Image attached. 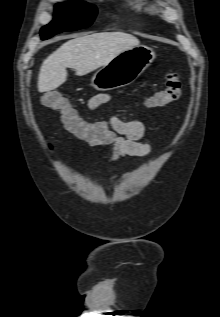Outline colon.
<instances>
[{
  "instance_id": "colon-1",
  "label": "colon",
  "mask_w": 220,
  "mask_h": 317,
  "mask_svg": "<svg viewBox=\"0 0 220 317\" xmlns=\"http://www.w3.org/2000/svg\"><path fill=\"white\" fill-rule=\"evenodd\" d=\"M180 95L181 83L178 75L176 73H169L166 78L165 88L152 95L148 99L147 105L151 108H160L177 101ZM41 99L47 107L60 114L62 122L70 131L84 130L85 122L77 115L65 96L56 91L46 90L43 92ZM47 145L49 148H52L51 143Z\"/></svg>"
}]
</instances>
